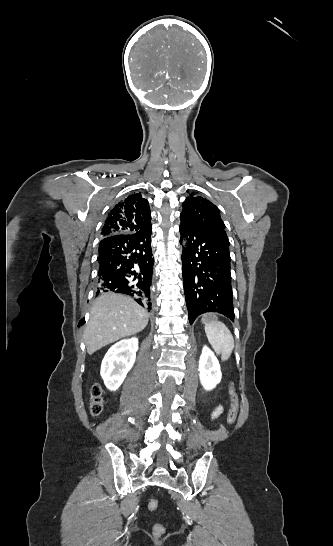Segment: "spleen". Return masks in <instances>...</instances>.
<instances>
[{"mask_svg": "<svg viewBox=\"0 0 333 546\" xmlns=\"http://www.w3.org/2000/svg\"><path fill=\"white\" fill-rule=\"evenodd\" d=\"M205 333L213 350L221 354L222 360H228L234 349V338L228 327L216 316H210L206 318Z\"/></svg>", "mask_w": 333, "mask_h": 546, "instance_id": "spleen-1", "label": "spleen"}]
</instances>
